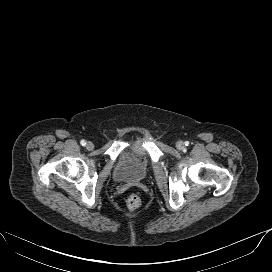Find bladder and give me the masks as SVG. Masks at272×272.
I'll use <instances>...</instances> for the list:
<instances>
[{
  "label": "bladder",
  "mask_w": 272,
  "mask_h": 272,
  "mask_svg": "<svg viewBox=\"0 0 272 272\" xmlns=\"http://www.w3.org/2000/svg\"><path fill=\"white\" fill-rule=\"evenodd\" d=\"M150 174L148 153L138 147L124 149L116 159L112 176L118 183H140Z\"/></svg>",
  "instance_id": "bladder-1"
}]
</instances>
